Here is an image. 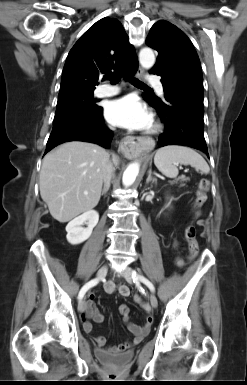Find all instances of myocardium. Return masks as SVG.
Segmentation results:
<instances>
[{
    "mask_svg": "<svg viewBox=\"0 0 247 385\" xmlns=\"http://www.w3.org/2000/svg\"><path fill=\"white\" fill-rule=\"evenodd\" d=\"M161 129V125L157 122V121H154L152 124H151V128L149 129V133L150 134H155L157 133L159 130Z\"/></svg>",
    "mask_w": 247,
    "mask_h": 385,
    "instance_id": "f54148a6",
    "label": "myocardium"
}]
</instances>
